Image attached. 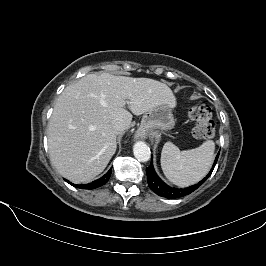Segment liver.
Instances as JSON below:
<instances>
[{
    "label": "liver",
    "mask_w": 266,
    "mask_h": 266,
    "mask_svg": "<svg viewBox=\"0 0 266 266\" xmlns=\"http://www.w3.org/2000/svg\"><path fill=\"white\" fill-rule=\"evenodd\" d=\"M161 104L174 107L176 98L157 80L109 73L82 77L67 86L55 103L47 128L52 165L73 183L90 181L116 152L111 123L122 119L129 128L132 114H144Z\"/></svg>",
    "instance_id": "obj_1"
}]
</instances>
